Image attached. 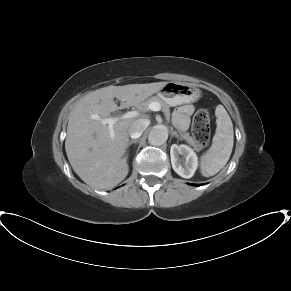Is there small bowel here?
<instances>
[{
	"label": "small bowel",
	"mask_w": 291,
	"mask_h": 291,
	"mask_svg": "<svg viewBox=\"0 0 291 291\" xmlns=\"http://www.w3.org/2000/svg\"><path fill=\"white\" fill-rule=\"evenodd\" d=\"M193 112V107L189 104H185L179 107L173 114L174 123L180 129H185L188 126L189 116Z\"/></svg>",
	"instance_id": "1"
}]
</instances>
